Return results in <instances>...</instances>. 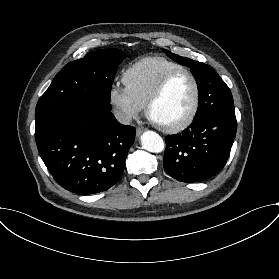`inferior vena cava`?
<instances>
[{
    "label": "inferior vena cava",
    "mask_w": 279,
    "mask_h": 279,
    "mask_svg": "<svg viewBox=\"0 0 279 279\" xmlns=\"http://www.w3.org/2000/svg\"><path fill=\"white\" fill-rule=\"evenodd\" d=\"M114 115L117 121L123 125H129L131 123L132 120L131 116H129L128 114L120 110L114 111Z\"/></svg>",
    "instance_id": "602c4592"
}]
</instances>
